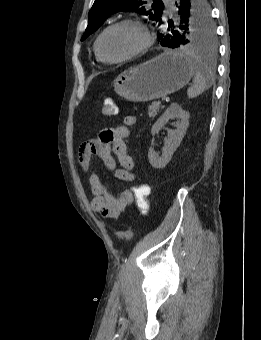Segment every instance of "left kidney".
I'll return each instance as SVG.
<instances>
[{
  "label": "left kidney",
  "mask_w": 261,
  "mask_h": 340,
  "mask_svg": "<svg viewBox=\"0 0 261 340\" xmlns=\"http://www.w3.org/2000/svg\"><path fill=\"white\" fill-rule=\"evenodd\" d=\"M189 113L184 111L180 105L173 103L166 109L164 114L152 126L151 133L154 136L158 134L161 128L168 123L170 119L176 118L179 122L175 130H168V138H165V145L161 157L151 147L148 151L149 163L156 169L164 168L172 158L173 153L180 145L189 125Z\"/></svg>",
  "instance_id": "1"
}]
</instances>
